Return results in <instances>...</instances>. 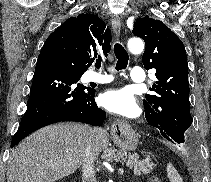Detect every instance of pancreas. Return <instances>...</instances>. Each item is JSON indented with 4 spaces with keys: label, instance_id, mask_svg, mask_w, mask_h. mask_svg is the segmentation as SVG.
<instances>
[{
    "label": "pancreas",
    "instance_id": "cf45deb5",
    "mask_svg": "<svg viewBox=\"0 0 211 182\" xmlns=\"http://www.w3.org/2000/svg\"><path fill=\"white\" fill-rule=\"evenodd\" d=\"M105 160H112L114 162H121L126 164L129 169L133 168L135 175L151 173L153 164L151 162L140 161L136 154H127L126 150L108 149L103 155Z\"/></svg>",
    "mask_w": 211,
    "mask_h": 182
}]
</instances>
